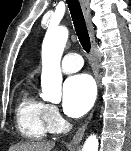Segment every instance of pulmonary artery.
Instances as JSON below:
<instances>
[{"label":"pulmonary artery","instance_id":"1","mask_svg":"<svg viewBox=\"0 0 131 151\" xmlns=\"http://www.w3.org/2000/svg\"><path fill=\"white\" fill-rule=\"evenodd\" d=\"M83 65L82 57L77 53L66 54L61 63L62 71L69 74L81 69Z\"/></svg>","mask_w":131,"mask_h":151}]
</instances>
